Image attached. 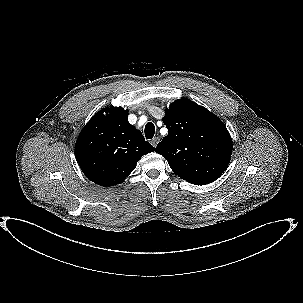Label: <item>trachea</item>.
Masks as SVG:
<instances>
[{"instance_id": "3493384b", "label": "trachea", "mask_w": 303, "mask_h": 303, "mask_svg": "<svg viewBox=\"0 0 303 303\" xmlns=\"http://www.w3.org/2000/svg\"><path fill=\"white\" fill-rule=\"evenodd\" d=\"M155 134V126L153 123L148 122L145 126V137L147 139H152Z\"/></svg>"}]
</instances>
